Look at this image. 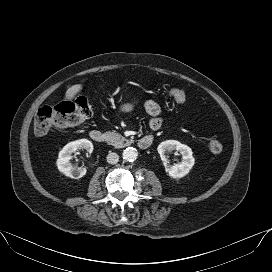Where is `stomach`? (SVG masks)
I'll return each mask as SVG.
<instances>
[{
    "label": "stomach",
    "instance_id": "0dacf381",
    "mask_svg": "<svg viewBox=\"0 0 272 272\" xmlns=\"http://www.w3.org/2000/svg\"><path fill=\"white\" fill-rule=\"evenodd\" d=\"M120 109H121L122 112H125V113L131 112L133 110V104H131V103H125V104H123L121 106Z\"/></svg>",
    "mask_w": 272,
    "mask_h": 272
}]
</instances>
